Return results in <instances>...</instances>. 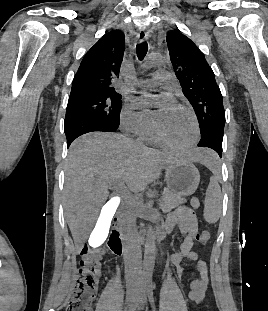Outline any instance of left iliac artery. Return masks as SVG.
Returning a JSON list of instances; mask_svg holds the SVG:
<instances>
[{"instance_id": "1", "label": "left iliac artery", "mask_w": 268, "mask_h": 311, "mask_svg": "<svg viewBox=\"0 0 268 311\" xmlns=\"http://www.w3.org/2000/svg\"><path fill=\"white\" fill-rule=\"evenodd\" d=\"M147 295L149 298V301L151 303V307L153 309V311H155V305H154V296H153V282L151 279H149L147 281Z\"/></svg>"}]
</instances>
